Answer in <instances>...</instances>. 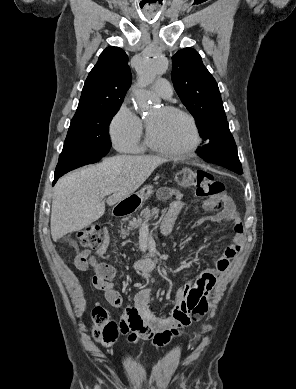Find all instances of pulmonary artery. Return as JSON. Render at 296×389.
I'll return each instance as SVG.
<instances>
[{
    "label": "pulmonary artery",
    "mask_w": 296,
    "mask_h": 389,
    "mask_svg": "<svg viewBox=\"0 0 296 389\" xmlns=\"http://www.w3.org/2000/svg\"><path fill=\"white\" fill-rule=\"evenodd\" d=\"M153 90L163 98H169L172 96V87L166 79H158L154 85Z\"/></svg>",
    "instance_id": "e3ab8cb5"
}]
</instances>
